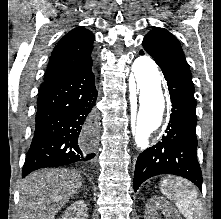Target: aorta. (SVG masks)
I'll return each instance as SVG.
<instances>
[{
	"label": "aorta",
	"instance_id": "obj_1",
	"mask_svg": "<svg viewBox=\"0 0 221 219\" xmlns=\"http://www.w3.org/2000/svg\"><path fill=\"white\" fill-rule=\"evenodd\" d=\"M135 111L133 128L138 147L144 148L150 133L158 129L166 109V96L156 63L148 56H139L132 65Z\"/></svg>",
	"mask_w": 221,
	"mask_h": 219
}]
</instances>
